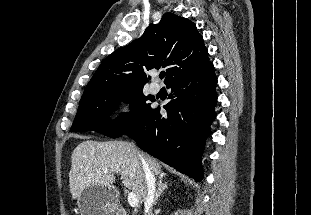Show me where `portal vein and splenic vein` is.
<instances>
[{
	"mask_svg": "<svg viewBox=\"0 0 311 215\" xmlns=\"http://www.w3.org/2000/svg\"><path fill=\"white\" fill-rule=\"evenodd\" d=\"M104 173H108V170L105 169V170H104ZM127 199H128V203H129V205H130L131 207H137V206H138V199H137V197H136V194H134V193H129Z\"/></svg>",
	"mask_w": 311,
	"mask_h": 215,
	"instance_id": "1",
	"label": "portal vein and splenic vein"
}]
</instances>
